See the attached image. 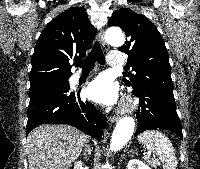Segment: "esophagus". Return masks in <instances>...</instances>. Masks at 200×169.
<instances>
[{
    "instance_id": "esophagus-1",
    "label": "esophagus",
    "mask_w": 200,
    "mask_h": 169,
    "mask_svg": "<svg viewBox=\"0 0 200 169\" xmlns=\"http://www.w3.org/2000/svg\"><path fill=\"white\" fill-rule=\"evenodd\" d=\"M98 38H99V41L102 44L103 48L107 51L109 49V46H108V44L106 43V41L104 39V30L103 29H101L99 31ZM118 119L119 118L117 116H111V117H109V121L111 123H114V122L118 121Z\"/></svg>"
}]
</instances>
